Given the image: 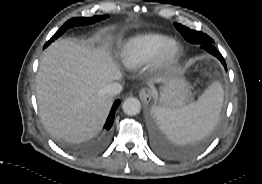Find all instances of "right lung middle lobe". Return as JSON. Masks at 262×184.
<instances>
[{"instance_id": "dd1d6c3e", "label": "right lung middle lobe", "mask_w": 262, "mask_h": 184, "mask_svg": "<svg viewBox=\"0 0 262 184\" xmlns=\"http://www.w3.org/2000/svg\"><path fill=\"white\" fill-rule=\"evenodd\" d=\"M108 15H97L90 18H72L68 20L57 32L56 34L45 44L44 47H47L52 41H54L56 38L61 36L68 28L73 27L75 25H84V24H91L96 21H100L102 19L107 18Z\"/></svg>"}]
</instances>
